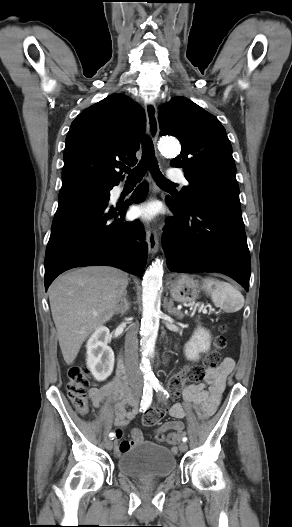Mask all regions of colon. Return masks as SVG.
Returning a JSON list of instances; mask_svg holds the SVG:
<instances>
[{
	"mask_svg": "<svg viewBox=\"0 0 292 527\" xmlns=\"http://www.w3.org/2000/svg\"><path fill=\"white\" fill-rule=\"evenodd\" d=\"M225 330V326H222L221 333L214 340L213 350L206 355L201 365H187L169 380L168 388L172 396H177L184 384H200L205 378L206 372L209 369H214L220 363L221 351L227 346ZM89 387L88 367L85 365L72 366L68 371L66 390L73 406L81 414H86L88 411L87 392ZM165 414L166 407L163 404L150 407L143 415L142 424L146 427L155 426L160 423Z\"/></svg>",
	"mask_w": 292,
	"mask_h": 527,
	"instance_id": "5ec220e1",
	"label": "colon"
}]
</instances>
